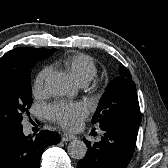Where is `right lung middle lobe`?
Masks as SVG:
<instances>
[{"instance_id": "right-lung-middle-lobe-1", "label": "right lung middle lobe", "mask_w": 168, "mask_h": 168, "mask_svg": "<svg viewBox=\"0 0 168 168\" xmlns=\"http://www.w3.org/2000/svg\"><path fill=\"white\" fill-rule=\"evenodd\" d=\"M43 59L45 57L26 58L9 81L0 83V131L22 126V114L28 113L32 104L30 72L35 63Z\"/></svg>"}]
</instances>
